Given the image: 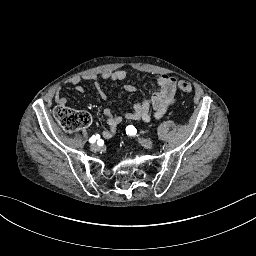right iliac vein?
I'll return each instance as SVG.
<instances>
[{
  "label": "right iliac vein",
  "instance_id": "1",
  "mask_svg": "<svg viewBox=\"0 0 256 256\" xmlns=\"http://www.w3.org/2000/svg\"><path fill=\"white\" fill-rule=\"evenodd\" d=\"M92 149L94 150V151H100L101 149H102V146L99 144V143H94V144H92Z\"/></svg>",
  "mask_w": 256,
  "mask_h": 256
}]
</instances>
